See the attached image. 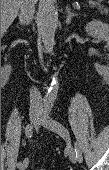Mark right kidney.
I'll use <instances>...</instances> for the list:
<instances>
[{"instance_id": "right-kidney-1", "label": "right kidney", "mask_w": 109, "mask_h": 170, "mask_svg": "<svg viewBox=\"0 0 109 170\" xmlns=\"http://www.w3.org/2000/svg\"><path fill=\"white\" fill-rule=\"evenodd\" d=\"M10 73H11V66L9 65L5 66L4 69L2 70L3 84H5L8 81Z\"/></svg>"}]
</instances>
